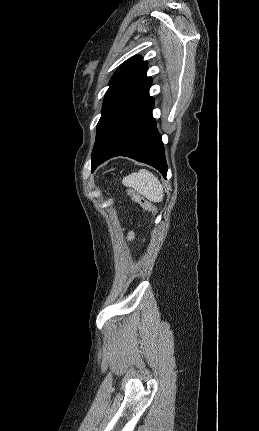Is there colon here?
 Instances as JSON below:
<instances>
[{
    "instance_id": "obj_1",
    "label": "colon",
    "mask_w": 259,
    "mask_h": 431,
    "mask_svg": "<svg viewBox=\"0 0 259 431\" xmlns=\"http://www.w3.org/2000/svg\"><path fill=\"white\" fill-rule=\"evenodd\" d=\"M130 197L137 202L144 210H146L147 212L155 215L157 212L156 207L149 201L147 200L145 197L141 196L140 194H138L137 192H135L134 190H129L128 191Z\"/></svg>"
}]
</instances>
